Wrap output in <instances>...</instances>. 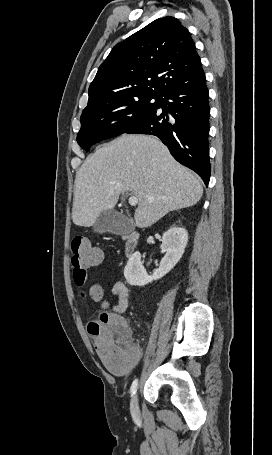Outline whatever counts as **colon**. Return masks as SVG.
Here are the masks:
<instances>
[{"label": "colon", "mask_w": 272, "mask_h": 455, "mask_svg": "<svg viewBox=\"0 0 272 455\" xmlns=\"http://www.w3.org/2000/svg\"><path fill=\"white\" fill-rule=\"evenodd\" d=\"M71 263L74 268V281L82 297L94 301L103 298L100 284L88 285V269L102 261V252L92 246L85 237H75L71 241ZM123 328L122 321L107 313L101 315L99 322L88 325V333L104 366L110 371H121L128 368L136 358V348L123 334L116 330Z\"/></svg>", "instance_id": "5ec220e1"}]
</instances>
